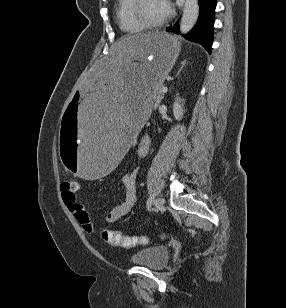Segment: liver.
<instances>
[{
	"label": "liver",
	"instance_id": "1",
	"mask_svg": "<svg viewBox=\"0 0 286 308\" xmlns=\"http://www.w3.org/2000/svg\"><path fill=\"white\" fill-rule=\"evenodd\" d=\"M143 35H147V34H143ZM135 36H142V35H135ZM135 36H131V37H135ZM129 38V37H128ZM126 39V38H125ZM120 43L121 41H119L115 47L113 48V53L117 52L120 49Z\"/></svg>",
	"mask_w": 286,
	"mask_h": 308
}]
</instances>
